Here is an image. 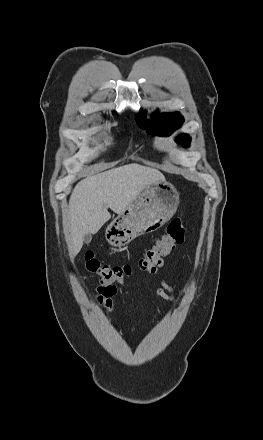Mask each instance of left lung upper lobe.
Returning a JSON list of instances; mask_svg holds the SVG:
<instances>
[{
	"mask_svg": "<svg viewBox=\"0 0 263 440\" xmlns=\"http://www.w3.org/2000/svg\"><path fill=\"white\" fill-rule=\"evenodd\" d=\"M138 123L152 135L169 136L173 130L181 126L183 118L179 112L163 113L158 116L157 121L154 123L148 122L143 117L139 118ZM177 143L182 144L183 147H188L190 138L188 135H182L177 138Z\"/></svg>",
	"mask_w": 263,
	"mask_h": 440,
	"instance_id": "obj_1",
	"label": "left lung upper lobe"
}]
</instances>
